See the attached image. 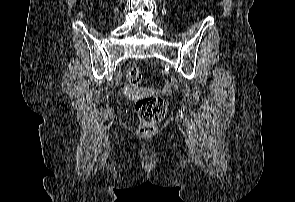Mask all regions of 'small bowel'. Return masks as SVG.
Instances as JSON below:
<instances>
[{
    "label": "small bowel",
    "instance_id": "small-bowel-1",
    "mask_svg": "<svg viewBox=\"0 0 295 202\" xmlns=\"http://www.w3.org/2000/svg\"><path fill=\"white\" fill-rule=\"evenodd\" d=\"M124 86H128V98H154V93H150V89H142V85H129V81H124Z\"/></svg>",
    "mask_w": 295,
    "mask_h": 202
}]
</instances>
